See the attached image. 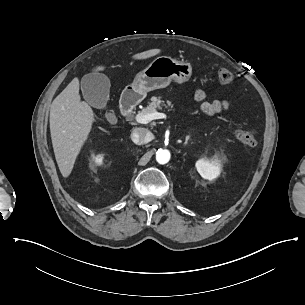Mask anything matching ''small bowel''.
<instances>
[{
	"label": "small bowel",
	"mask_w": 305,
	"mask_h": 305,
	"mask_svg": "<svg viewBox=\"0 0 305 305\" xmlns=\"http://www.w3.org/2000/svg\"><path fill=\"white\" fill-rule=\"evenodd\" d=\"M194 97L196 101L201 103L202 111L210 116L219 114L229 108V103L225 100H207L206 93L202 89H197Z\"/></svg>",
	"instance_id": "1"
}]
</instances>
